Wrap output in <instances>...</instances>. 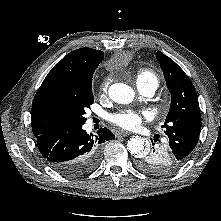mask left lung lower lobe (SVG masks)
I'll return each mask as SVG.
<instances>
[{"mask_svg": "<svg viewBox=\"0 0 221 221\" xmlns=\"http://www.w3.org/2000/svg\"><path fill=\"white\" fill-rule=\"evenodd\" d=\"M157 140L159 143H153V148L149 153L138 158L137 167L146 173L158 176L168 175L179 170L185 162L180 161L173 154L168 143H161L158 138ZM154 141L156 142V139Z\"/></svg>", "mask_w": 221, "mask_h": 221, "instance_id": "left-lung-lower-lobe-1", "label": "left lung lower lobe"}]
</instances>
